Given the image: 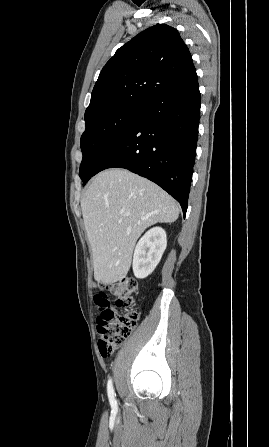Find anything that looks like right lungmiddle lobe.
<instances>
[{"label": "right lung middle lobe", "instance_id": "obj_1", "mask_svg": "<svg viewBox=\"0 0 269 447\" xmlns=\"http://www.w3.org/2000/svg\"><path fill=\"white\" fill-rule=\"evenodd\" d=\"M144 112V105L137 104L121 107L93 117L87 121L86 130L81 136L83 159L79 176L84 181L89 175L92 165L103 152Z\"/></svg>", "mask_w": 269, "mask_h": 447}]
</instances>
